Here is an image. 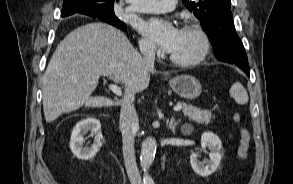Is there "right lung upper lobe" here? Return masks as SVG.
<instances>
[{
    "label": "right lung upper lobe",
    "mask_w": 293,
    "mask_h": 184,
    "mask_svg": "<svg viewBox=\"0 0 293 184\" xmlns=\"http://www.w3.org/2000/svg\"><path fill=\"white\" fill-rule=\"evenodd\" d=\"M114 1L115 0H64L61 16L66 17L75 13H80L92 16L94 18H99L97 15L89 10L87 4H98L104 9H114ZM116 1L118 2L119 0ZM64 2L66 4H64Z\"/></svg>",
    "instance_id": "obj_1"
}]
</instances>
